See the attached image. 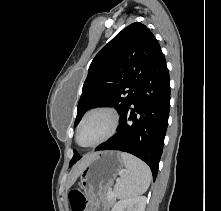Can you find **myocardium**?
Returning <instances> with one entry per match:
<instances>
[{
	"instance_id": "obj_1",
	"label": "myocardium",
	"mask_w": 221,
	"mask_h": 211,
	"mask_svg": "<svg viewBox=\"0 0 221 211\" xmlns=\"http://www.w3.org/2000/svg\"><path fill=\"white\" fill-rule=\"evenodd\" d=\"M95 114H105L106 116H108V118L110 120L109 128H108L107 132L105 133V135L103 137H101L99 140H97L94 143L84 145L79 140L81 128H82L83 124L86 122V120ZM118 125H119V115L114 109H112L111 107H108V106H96V107L88 110L81 118V120L77 126V130H76V136H75L76 142L80 146L86 147V148H92V147L99 146L102 143L108 141L110 138H112L115 135V133L118 129Z\"/></svg>"
}]
</instances>
